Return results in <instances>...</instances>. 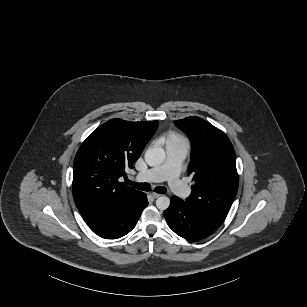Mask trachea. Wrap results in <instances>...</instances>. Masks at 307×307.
<instances>
[{
  "instance_id": "trachea-1",
  "label": "trachea",
  "mask_w": 307,
  "mask_h": 307,
  "mask_svg": "<svg viewBox=\"0 0 307 307\" xmlns=\"http://www.w3.org/2000/svg\"><path fill=\"white\" fill-rule=\"evenodd\" d=\"M127 184L131 185L137 189H140L142 191H150L151 190V185L149 183H135L133 181L127 180ZM155 192L159 193V194H164L166 193L167 189L164 186H157L154 189Z\"/></svg>"
}]
</instances>
